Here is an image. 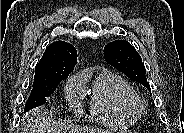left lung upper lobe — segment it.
Segmentation results:
<instances>
[{"mask_svg": "<svg viewBox=\"0 0 184 133\" xmlns=\"http://www.w3.org/2000/svg\"><path fill=\"white\" fill-rule=\"evenodd\" d=\"M104 58L111 66L151 92L146 69L136 49L126 40H116L104 47Z\"/></svg>", "mask_w": 184, "mask_h": 133, "instance_id": "left-lung-upper-lobe-1", "label": "left lung upper lobe"}]
</instances>
